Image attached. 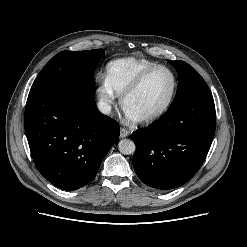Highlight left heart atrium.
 Instances as JSON below:
<instances>
[{
  "label": "left heart atrium",
  "instance_id": "obj_1",
  "mask_svg": "<svg viewBox=\"0 0 247 247\" xmlns=\"http://www.w3.org/2000/svg\"><path fill=\"white\" fill-rule=\"evenodd\" d=\"M126 116H127L128 120L131 121V122H136V121L139 120L137 115L132 114V113H130L128 111L126 112Z\"/></svg>",
  "mask_w": 247,
  "mask_h": 247
}]
</instances>
